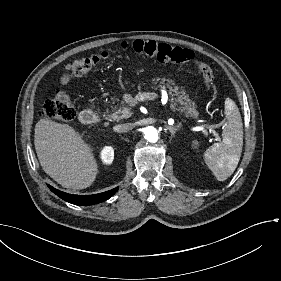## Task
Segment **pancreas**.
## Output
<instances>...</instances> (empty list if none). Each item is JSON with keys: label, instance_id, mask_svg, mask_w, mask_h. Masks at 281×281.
<instances>
[{"label": "pancreas", "instance_id": "cf45deb5", "mask_svg": "<svg viewBox=\"0 0 281 281\" xmlns=\"http://www.w3.org/2000/svg\"><path fill=\"white\" fill-rule=\"evenodd\" d=\"M173 82L170 79L166 80L165 83V78H162L161 82L159 83V86L163 88H169V94H171V101H170V106L173 108H177L178 105L177 103L179 102L181 105L186 106L187 104L182 101L183 97L179 95L178 92V87H172L171 85ZM121 106H124V102L121 103ZM188 109L191 111L192 116L196 117L198 116V112L194 111L192 109V106L190 105ZM131 116L130 113H124L122 108L118 107L116 112H113L111 115L107 116L108 120L111 121H121L123 118H129Z\"/></svg>", "mask_w": 281, "mask_h": 281}]
</instances>
